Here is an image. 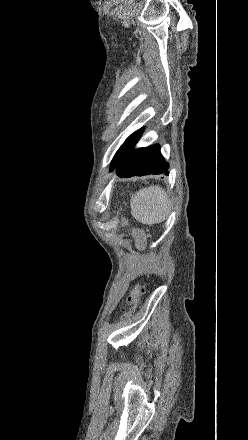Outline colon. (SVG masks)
I'll return each instance as SVG.
<instances>
[{
    "mask_svg": "<svg viewBox=\"0 0 248 440\" xmlns=\"http://www.w3.org/2000/svg\"><path fill=\"white\" fill-rule=\"evenodd\" d=\"M144 292H145V288H144V287L137 288V289L132 293L130 300H131V301L135 300L136 297H137V295H138L139 293H144Z\"/></svg>",
    "mask_w": 248,
    "mask_h": 440,
    "instance_id": "colon-1",
    "label": "colon"
}]
</instances>
